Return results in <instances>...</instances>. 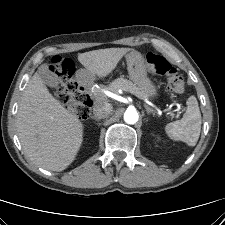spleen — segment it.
<instances>
[{
    "mask_svg": "<svg viewBox=\"0 0 225 225\" xmlns=\"http://www.w3.org/2000/svg\"><path fill=\"white\" fill-rule=\"evenodd\" d=\"M186 104L187 108L183 118L168 123L165 126V132L172 140L195 146L201 131V113L195 96H190Z\"/></svg>",
    "mask_w": 225,
    "mask_h": 225,
    "instance_id": "3e777b00",
    "label": "spleen"
}]
</instances>
